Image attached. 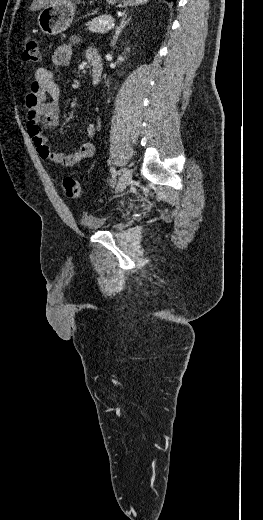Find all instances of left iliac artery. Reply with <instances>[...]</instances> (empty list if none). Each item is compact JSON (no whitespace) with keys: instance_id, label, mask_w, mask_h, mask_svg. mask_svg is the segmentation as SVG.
Segmentation results:
<instances>
[{"instance_id":"1","label":"left iliac artery","mask_w":263,"mask_h":520,"mask_svg":"<svg viewBox=\"0 0 263 520\" xmlns=\"http://www.w3.org/2000/svg\"><path fill=\"white\" fill-rule=\"evenodd\" d=\"M110 172H111L112 178L115 179L117 176V172H116L115 168L111 167Z\"/></svg>"}]
</instances>
